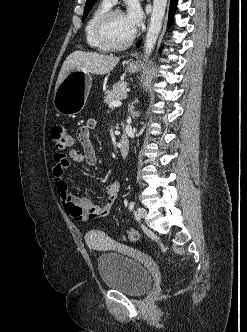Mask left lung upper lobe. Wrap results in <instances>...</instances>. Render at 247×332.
I'll return each mask as SVG.
<instances>
[{
    "label": "left lung upper lobe",
    "mask_w": 247,
    "mask_h": 332,
    "mask_svg": "<svg viewBox=\"0 0 247 332\" xmlns=\"http://www.w3.org/2000/svg\"><path fill=\"white\" fill-rule=\"evenodd\" d=\"M97 0H86V4H85V8H84V14H83V19L82 21H84V19L87 17L90 9L92 8V6L94 5V3Z\"/></svg>",
    "instance_id": "obj_1"
}]
</instances>
